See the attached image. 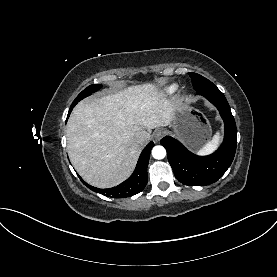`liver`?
<instances>
[{
  "instance_id": "liver-1",
  "label": "liver",
  "mask_w": 277,
  "mask_h": 277,
  "mask_svg": "<svg viewBox=\"0 0 277 277\" xmlns=\"http://www.w3.org/2000/svg\"><path fill=\"white\" fill-rule=\"evenodd\" d=\"M175 103L152 83L80 101L66 129L68 154L78 174L99 188L126 180L143 147L135 133L171 125Z\"/></svg>"
}]
</instances>
